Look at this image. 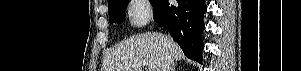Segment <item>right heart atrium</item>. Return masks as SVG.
<instances>
[{"label": "right heart atrium", "instance_id": "obj_1", "mask_svg": "<svg viewBox=\"0 0 301 71\" xmlns=\"http://www.w3.org/2000/svg\"><path fill=\"white\" fill-rule=\"evenodd\" d=\"M128 19L132 26L141 27L151 19V10L148 1L133 0L127 8Z\"/></svg>", "mask_w": 301, "mask_h": 71}]
</instances>
